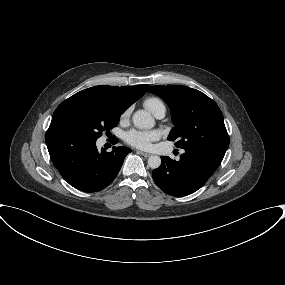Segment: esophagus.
<instances>
[{"mask_svg":"<svg viewBox=\"0 0 285 285\" xmlns=\"http://www.w3.org/2000/svg\"><path fill=\"white\" fill-rule=\"evenodd\" d=\"M139 154H141L144 157H150L151 154L150 153H146V152H142V151H138Z\"/></svg>","mask_w":285,"mask_h":285,"instance_id":"34e87169","label":"esophagus"}]
</instances>
